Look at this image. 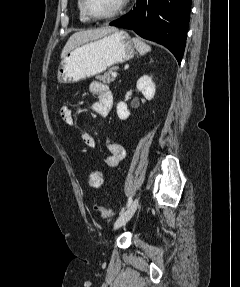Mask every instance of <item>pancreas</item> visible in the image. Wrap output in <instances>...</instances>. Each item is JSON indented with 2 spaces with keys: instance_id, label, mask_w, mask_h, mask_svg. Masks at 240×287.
Wrapping results in <instances>:
<instances>
[{
  "instance_id": "obj_1",
  "label": "pancreas",
  "mask_w": 240,
  "mask_h": 287,
  "mask_svg": "<svg viewBox=\"0 0 240 287\" xmlns=\"http://www.w3.org/2000/svg\"><path fill=\"white\" fill-rule=\"evenodd\" d=\"M117 69V67L110 68L107 72H105L103 75L99 76V79L103 81L104 83H112L115 80V77L113 76L114 71Z\"/></svg>"
}]
</instances>
